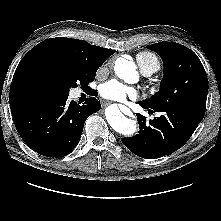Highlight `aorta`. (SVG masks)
<instances>
[{"label":"aorta","instance_id":"aorta-1","mask_svg":"<svg viewBox=\"0 0 221 221\" xmlns=\"http://www.w3.org/2000/svg\"><path fill=\"white\" fill-rule=\"evenodd\" d=\"M115 73L127 83H133L138 79L136 65L130 60L120 58L115 65ZM106 119L110 126L122 135H132L137 130V124L134 120L125 117L116 105H111L106 109Z\"/></svg>","mask_w":221,"mask_h":221}]
</instances>
